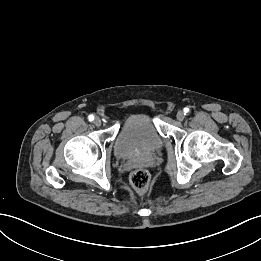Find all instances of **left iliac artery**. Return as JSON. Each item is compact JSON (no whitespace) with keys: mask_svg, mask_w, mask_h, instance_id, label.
Returning <instances> with one entry per match:
<instances>
[{"mask_svg":"<svg viewBox=\"0 0 261 261\" xmlns=\"http://www.w3.org/2000/svg\"><path fill=\"white\" fill-rule=\"evenodd\" d=\"M184 112H185V115H186V113H188L189 112V108H184Z\"/></svg>","mask_w":261,"mask_h":261,"instance_id":"1","label":"left iliac artery"}]
</instances>
